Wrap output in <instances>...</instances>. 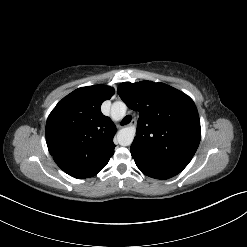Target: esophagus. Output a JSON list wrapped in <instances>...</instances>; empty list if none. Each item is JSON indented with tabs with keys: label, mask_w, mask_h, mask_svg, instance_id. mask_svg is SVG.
<instances>
[{
	"label": "esophagus",
	"mask_w": 247,
	"mask_h": 247,
	"mask_svg": "<svg viewBox=\"0 0 247 247\" xmlns=\"http://www.w3.org/2000/svg\"><path fill=\"white\" fill-rule=\"evenodd\" d=\"M133 125V121H131L129 124H128V126H132Z\"/></svg>",
	"instance_id": "obj_1"
}]
</instances>
